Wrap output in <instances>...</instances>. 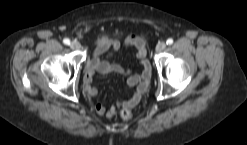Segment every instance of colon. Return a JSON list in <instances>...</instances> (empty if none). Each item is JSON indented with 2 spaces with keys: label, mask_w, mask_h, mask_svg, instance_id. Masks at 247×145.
Wrapping results in <instances>:
<instances>
[{
  "label": "colon",
  "mask_w": 247,
  "mask_h": 145,
  "mask_svg": "<svg viewBox=\"0 0 247 145\" xmlns=\"http://www.w3.org/2000/svg\"><path fill=\"white\" fill-rule=\"evenodd\" d=\"M119 115L124 120H129L133 117V113L130 109L122 108L119 112Z\"/></svg>",
  "instance_id": "colon-1"
}]
</instances>
